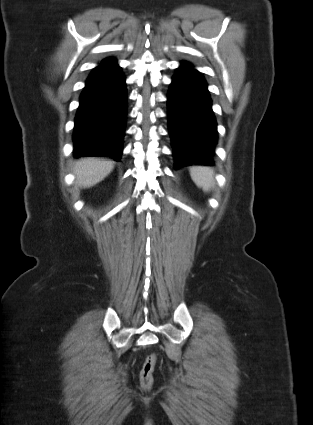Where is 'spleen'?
Returning a JSON list of instances; mask_svg holds the SVG:
<instances>
[{"label": "spleen", "mask_w": 313, "mask_h": 425, "mask_svg": "<svg viewBox=\"0 0 313 425\" xmlns=\"http://www.w3.org/2000/svg\"><path fill=\"white\" fill-rule=\"evenodd\" d=\"M190 175L193 182L199 187L202 188L204 192H208L214 186V171L209 167H191Z\"/></svg>", "instance_id": "obj_1"}]
</instances>
